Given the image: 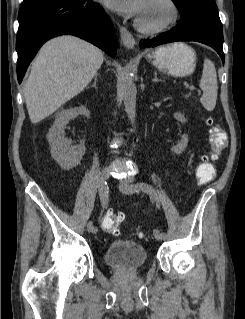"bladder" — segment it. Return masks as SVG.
I'll use <instances>...</instances> for the list:
<instances>
[{"label":"bladder","instance_id":"31cf9c89","mask_svg":"<svg viewBox=\"0 0 245 319\" xmlns=\"http://www.w3.org/2000/svg\"><path fill=\"white\" fill-rule=\"evenodd\" d=\"M104 258L111 266L135 268L146 262L147 255L145 248L135 241L115 240L108 245Z\"/></svg>","mask_w":245,"mask_h":319}]
</instances>
